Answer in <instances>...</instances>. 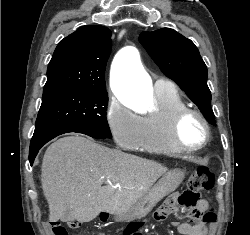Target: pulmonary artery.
Returning a JSON list of instances; mask_svg holds the SVG:
<instances>
[{"label": "pulmonary artery", "instance_id": "pulmonary-artery-1", "mask_svg": "<svg viewBox=\"0 0 250 235\" xmlns=\"http://www.w3.org/2000/svg\"><path fill=\"white\" fill-rule=\"evenodd\" d=\"M172 87H173V84L170 81L162 79V78L157 79L154 83V88L155 90H158V91L167 90Z\"/></svg>", "mask_w": 250, "mask_h": 235}]
</instances>
